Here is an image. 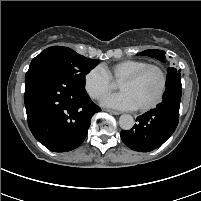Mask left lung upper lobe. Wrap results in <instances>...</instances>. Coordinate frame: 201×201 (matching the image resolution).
Listing matches in <instances>:
<instances>
[{"label": "left lung upper lobe", "instance_id": "left-lung-upper-lobe-1", "mask_svg": "<svg viewBox=\"0 0 201 201\" xmlns=\"http://www.w3.org/2000/svg\"><path fill=\"white\" fill-rule=\"evenodd\" d=\"M139 55H147L150 57H156L157 59L161 60L164 62L165 59V52L162 50H157V49H151V50H146L143 51L141 53H139ZM168 74H167V81L166 83H168L170 81V79L177 77V78H181L180 77V70H177L176 68H168Z\"/></svg>", "mask_w": 201, "mask_h": 201}]
</instances>
